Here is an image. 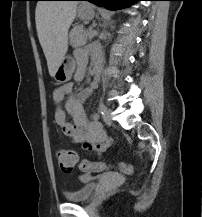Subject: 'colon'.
I'll list each match as a JSON object with an SVG mask.
<instances>
[{
	"label": "colon",
	"mask_w": 202,
	"mask_h": 217,
	"mask_svg": "<svg viewBox=\"0 0 202 217\" xmlns=\"http://www.w3.org/2000/svg\"><path fill=\"white\" fill-rule=\"evenodd\" d=\"M55 156L60 169L65 172L73 170V168L79 161L78 154L74 149H58L55 152ZM79 166L81 170L89 173H100L108 168V165L106 163H93L85 159L80 160ZM118 167L122 172L126 174H131L133 172V167L129 163L121 162L118 164Z\"/></svg>",
	"instance_id": "obj_1"
}]
</instances>
